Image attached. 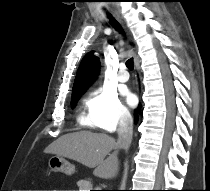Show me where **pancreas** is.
<instances>
[{
    "mask_svg": "<svg viewBox=\"0 0 210 191\" xmlns=\"http://www.w3.org/2000/svg\"><path fill=\"white\" fill-rule=\"evenodd\" d=\"M77 185L79 186L81 191L91 190L93 185L89 180H80Z\"/></svg>",
    "mask_w": 210,
    "mask_h": 191,
    "instance_id": "pancreas-1",
    "label": "pancreas"
}]
</instances>
